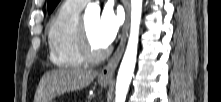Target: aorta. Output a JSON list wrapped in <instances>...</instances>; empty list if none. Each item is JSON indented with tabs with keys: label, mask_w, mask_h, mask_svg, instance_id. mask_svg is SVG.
Listing matches in <instances>:
<instances>
[{
	"label": "aorta",
	"mask_w": 221,
	"mask_h": 102,
	"mask_svg": "<svg viewBox=\"0 0 221 102\" xmlns=\"http://www.w3.org/2000/svg\"><path fill=\"white\" fill-rule=\"evenodd\" d=\"M142 2L143 0H131L130 35L117 75L115 102H125L130 82L134 73L137 59L139 27L142 15ZM99 12L100 7L97 3H89L86 7L84 17L87 18Z\"/></svg>",
	"instance_id": "1"
}]
</instances>
